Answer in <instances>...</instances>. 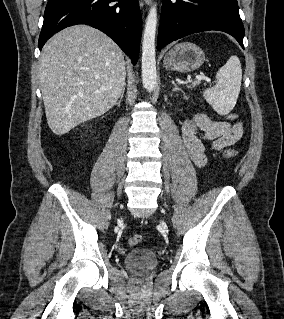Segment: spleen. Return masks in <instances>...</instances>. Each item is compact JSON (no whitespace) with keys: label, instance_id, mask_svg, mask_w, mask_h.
Segmentation results:
<instances>
[{"label":"spleen","instance_id":"3e777b00","mask_svg":"<svg viewBox=\"0 0 284 319\" xmlns=\"http://www.w3.org/2000/svg\"><path fill=\"white\" fill-rule=\"evenodd\" d=\"M217 83L203 92L205 100L219 115H227L234 108L242 81L241 63L233 55L216 73Z\"/></svg>","mask_w":284,"mask_h":319}]
</instances>
